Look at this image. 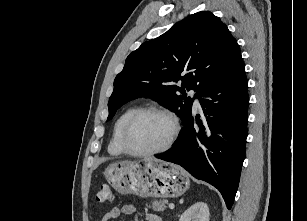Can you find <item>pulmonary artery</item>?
I'll use <instances>...</instances> for the list:
<instances>
[{
  "mask_svg": "<svg viewBox=\"0 0 307 221\" xmlns=\"http://www.w3.org/2000/svg\"><path fill=\"white\" fill-rule=\"evenodd\" d=\"M191 94L196 96V98H195V106L196 107H200L199 96L197 95L196 91L191 90Z\"/></svg>",
  "mask_w": 307,
  "mask_h": 221,
  "instance_id": "obj_1",
  "label": "pulmonary artery"
}]
</instances>
